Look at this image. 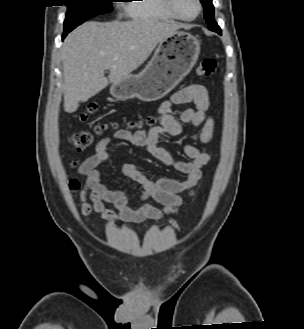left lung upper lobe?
Segmentation results:
<instances>
[{
	"label": "left lung upper lobe",
	"instance_id": "1",
	"mask_svg": "<svg viewBox=\"0 0 304 329\" xmlns=\"http://www.w3.org/2000/svg\"><path fill=\"white\" fill-rule=\"evenodd\" d=\"M202 5L204 6V17L208 26L212 24L214 20V6L212 4V0H200Z\"/></svg>",
	"mask_w": 304,
	"mask_h": 329
}]
</instances>
